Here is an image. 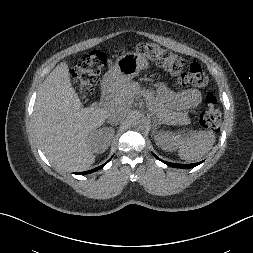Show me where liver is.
I'll return each mask as SVG.
<instances>
[{
  "label": "liver",
  "instance_id": "1",
  "mask_svg": "<svg viewBox=\"0 0 253 253\" xmlns=\"http://www.w3.org/2000/svg\"><path fill=\"white\" fill-rule=\"evenodd\" d=\"M140 94L135 84H127L126 101L115 105L129 106ZM108 117V109L96 105L83 108L71 85L66 62L57 65L41 85L33 111V128L40 148L57 167L83 171L95 162L89 136Z\"/></svg>",
  "mask_w": 253,
  "mask_h": 253
}]
</instances>
